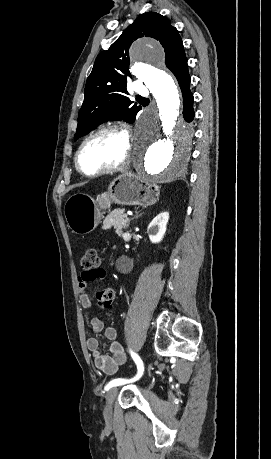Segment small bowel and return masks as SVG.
<instances>
[{
  "label": "small bowel",
  "mask_w": 271,
  "mask_h": 459,
  "mask_svg": "<svg viewBox=\"0 0 271 459\" xmlns=\"http://www.w3.org/2000/svg\"><path fill=\"white\" fill-rule=\"evenodd\" d=\"M105 276L106 271L103 268H98L93 271L83 272L78 277L80 304L83 308L88 309L92 307V300L86 292L88 283L95 280H102ZM90 326L93 333L103 332L104 337L111 342L109 354H104L100 350L96 338L90 337L87 339L86 345L92 355L95 367L107 375H113L125 363L126 359L123 347L117 341V332L113 327L105 328L103 322L96 317L90 319Z\"/></svg>",
  "instance_id": "obj_1"
}]
</instances>
